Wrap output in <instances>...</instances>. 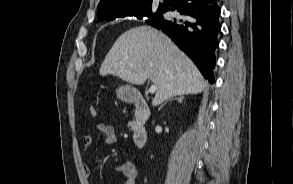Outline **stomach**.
Instances as JSON below:
<instances>
[{
    "label": "stomach",
    "mask_w": 293,
    "mask_h": 184,
    "mask_svg": "<svg viewBox=\"0 0 293 184\" xmlns=\"http://www.w3.org/2000/svg\"><path fill=\"white\" fill-rule=\"evenodd\" d=\"M117 96L126 102H132L136 99V97L139 95V92L136 88L126 85L121 86L116 90Z\"/></svg>",
    "instance_id": "1"
}]
</instances>
